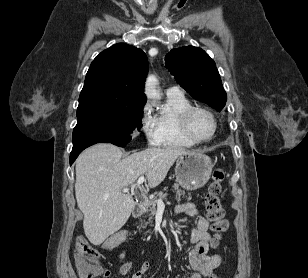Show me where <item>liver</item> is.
I'll list each match as a JSON object with an SVG mask.
<instances>
[{"mask_svg":"<svg viewBox=\"0 0 308 278\" xmlns=\"http://www.w3.org/2000/svg\"><path fill=\"white\" fill-rule=\"evenodd\" d=\"M187 153L183 148H148L123 157L122 150L110 143L84 150L76 160L75 195L88 240L100 245L129 219L134 201L122 189L144 174L150 188L158 186Z\"/></svg>","mask_w":308,"mask_h":278,"instance_id":"obj_1","label":"liver"}]
</instances>
